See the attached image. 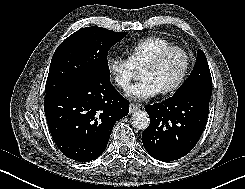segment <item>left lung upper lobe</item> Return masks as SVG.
<instances>
[{"label":"left lung upper lobe","instance_id":"5c2ea615","mask_svg":"<svg viewBox=\"0 0 245 189\" xmlns=\"http://www.w3.org/2000/svg\"><path fill=\"white\" fill-rule=\"evenodd\" d=\"M187 92H199L209 96L212 94V78L206 56L201 49L197 51L193 71L174 95Z\"/></svg>","mask_w":245,"mask_h":189}]
</instances>
